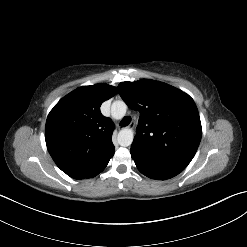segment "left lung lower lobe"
Returning a JSON list of instances; mask_svg holds the SVG:
<instances>
[{
    "label": "left lung lower lobe",
    "instance_id": "1",
    "mask_svg": "<svg viewBox=\"0 0 247 247\" xmlns=\"http://www.w3.org/2000/svg\"><path fill=\"white\" fill-rule=\"evenodd\" d=\"M130 152L138 170L151 179L166 180L181 172L164 165L158 159L135 148H131Z\"/></svg>",
    "mask_w": 247,
    "mask_h": 247
}]
</instances>
